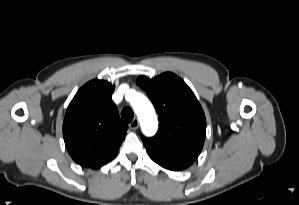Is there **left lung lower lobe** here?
<instances>
[{"mask_svg":"<svg viewBox=\"0 0 299 205\" xmlns=\"http://www.w3.org/2000/svg\"><path fill=\"white\" fill-rule=\"evenodd\" d=\"M150 158L165 169L179 171L188 168L199 156L203 145L181 140L144 141Z\"/></svg>","mask_w":299,"mask_h":205,"instance_id":"1","label":"left lung lower lobe"}]
</instances>
